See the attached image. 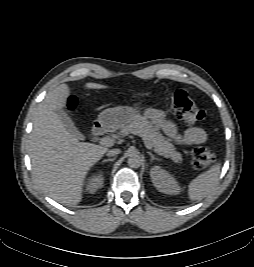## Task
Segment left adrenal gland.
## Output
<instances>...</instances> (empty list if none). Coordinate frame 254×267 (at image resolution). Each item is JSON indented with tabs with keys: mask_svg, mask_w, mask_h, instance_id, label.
Returning <instances> with one entry per match:
<instances>
[{
	"mask_svg": "<svg viewBox=\"0 0 254 267\" xmlns=\"http://www.w3.org/2000/svg\"><path fill=\"white\" fill-rule=\"evenodd\" d=\"M148 153V155L151 157V159H150V161L152 162L153 160H158V161H160V159L159 158H157V157H155L151 152H147Z\"/></svg>",
	"mask_w": 254,
	"mask_h": 267,
	"instance_id": "a2214340",
	"label": "left adrenal gland"
}]
</instances>
